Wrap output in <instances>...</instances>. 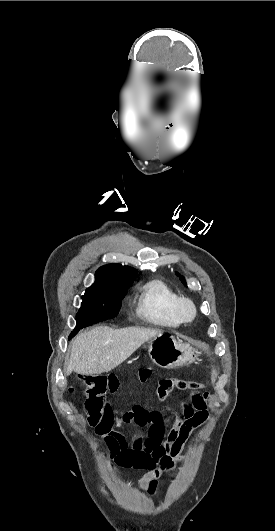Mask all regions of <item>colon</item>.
Returning a JSON list of instances; mask_svg holds the SVG:
<instances>
[{
    "instance_id": "5ec220e1",
    "label": "colon",
    "mask_w": 275,
    "mask_h": 531,
    "mask_svg": "<svg viewBox=\"0 0 275 531\" xmlns=\"http://www.w3.org/2000/svg\"><path fill=\"white\" fill-rule=\"evenodd\" d=\"M108 377H115L113 375H105L103 377L98 376L95 373L79 374L72 380V387L82 396H89L84 412V419L89 424L101 423L104 420V404L103 399L107 392L106 384ZM202 389L204 388L201 384ZM158 391H153V402H166V392H190L192 384L190 381H159L157 384ZM152 481H156V478H152ZM156 488L161 486L159 481L154 483ZM154 486H149L147 494L152 496L155 494Z\"/></svg>"
}]
</instances>
